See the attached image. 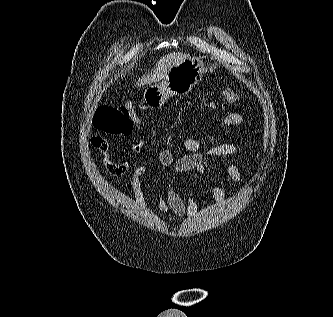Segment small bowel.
<instances>
[{
    "instance_id": "c3829d8e",
    "label": "small bowel",
    "mask_w": 333,
    "mask_h": 317,
    "mask_svg": "<svg viewBox=\"0 0 333 317\" xmlns=\"http://www.w3.org/2000/svg\"><path fill=\"white\" fill-rule=\"evenodd\" d=\"M245 121L244 117L238 112H230L224 116L219 123L220 127L239 126ZM92 146L100 153L106 169L113 175L120 176L128 171L126 161H114L111 159L110 146L108 141L100 135L91 138ZM187 153L182 157L175 159L168 149H162L158 153V163L163 170L172 169L175 175L181 173H197L209 178L208 170L204 162L205 155L211 158H225L229 156H240L241 149L232 143H221L211 146L204 154L201 150L203 142L199 139L188 137L183 141ZM143 148V142L137 141L132 145L133 152H140ZM149 166L142 164L137 166L130 177V183L136 199L144 203V194L142 189L141 177L148 171ZM225 171L230 180L240 185L242 182L241 173L238 167L230 162L225 163ZM211 193L218 205L224 202V190L209 178ZM157 206L164 217L173 214L178 218L193 217L197 211V202L192 194L184 199L178 191L170 186L166 195L159 193L157 197Z\"/></svg>"
}]
</instances>
